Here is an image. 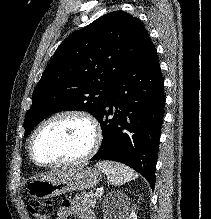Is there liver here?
<instances>
[{"label": "liver", "instance_id": "liver-1", "mask_svg": "<svg viewBox=\"0 0 211 219\" xmlns=\"http://www.w3.org/2000/svg\"><path fill=\"white\" fill-rule=\"evenodd\" d=\"M63 171H54V172H51L49 175H47L44 179L46 178H50L51 176H54V175H59L61 174Z\"/></svg>", "mask_w": 211, "mask_h": 219}]
</instances>
